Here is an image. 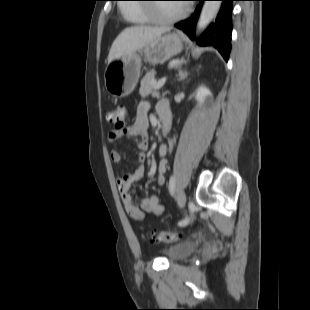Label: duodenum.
Wrapping results in <instances>:
<instances>
[{
    "mask_svg": "<svg viewBox=\"0 0 310 310\" xmlns=\"http://www.w3.org/2000/svg\"><path fill=\"white\" fill-rule=\"evenodd\" d=\"M160 119L163 125V131L167 133L170 126V113L169 112H160Z\"/></svg>",
    "mask_w": 310,
    "mask_h": 310,
    "instance_id": "1",
    "label": "duodenum"
}]
</instances>
